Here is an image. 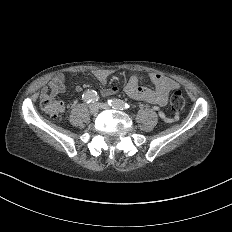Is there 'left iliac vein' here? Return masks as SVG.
<instances>
[{
    "label": "left iliac vein",
    "mask_w": 232,
    "mask_h": 232,
    "mask_svg": "<svg viewBox=\"0 0 232 232\" xmlns=\"http://www.w3.org/2000/svg\"><path fill=\"white\" fill-rule=\"evenodd\" d=\"M109 106V103H100V102H97L96 104H94V108H98V109H107Z\"/></svg>",
    "instance_id": "1"
}]
</instances>
